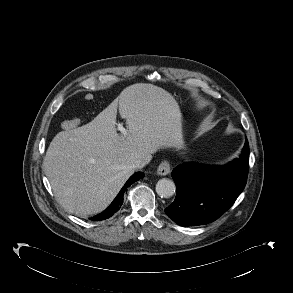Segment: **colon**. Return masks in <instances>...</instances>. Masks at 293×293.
Returning <instances> with one entry per match:
<instances>
[{
    "label": "colon",
    "instance_id": "obj_1",
    "mask_svg": "<svg viewBox=\"0 0 293 293\" xmlns=\"http://www.w3.org/2000/svg\"><path fill=\"white\" fill-rule=\"evenodd\" d=\"M85 99L87 101H92L94 99V95L92 93H87L85 95ZM79 124H80V120L79 119L65 120L62 123V127L64 129H66V130H69V129H73V128L77 127Z\"/></svg>",
    "mask_w": 293,
    "mask_h": 293
}]
</instances>
